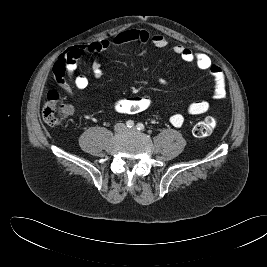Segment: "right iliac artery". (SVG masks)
I'll return each instance as SVG.
<instances>
[{"instance_id": "82829eb1", "label": "right iliac artery", "mask_w": 267, "mask_h": 267, "mask_svg": "<svg viewBox=\"0 0 267 267\" xmlns=\"http://www.w3.org/2000/svg\"><path fill=\"white\" fill-rule=\"evenodd\" d=\"M126 126H127L128 128H131V127L134 126V122H133L132 120H128V121L126 122Z\"/></svg>"}]
</instances>
